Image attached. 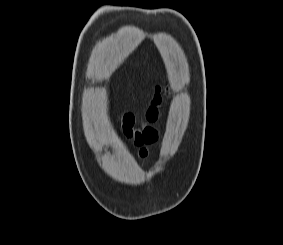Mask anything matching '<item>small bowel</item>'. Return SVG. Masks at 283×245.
Wrapping results in <instances>:
<instances>
[{"label":"small bowel","instance_id":"1","mask_svg":"<svg viewBox=\"0 0 283 245\" xmlns=\"http://www.w3.org/2000/svg\"><path fill=\"white\" fill-rule=\"evenodd\" d=\"M148 151L146 148H141L139 150V159L140 161L144 162L147 159Z\"/></svg>","mask_w":283,"mask_h":245}]
</instances>
